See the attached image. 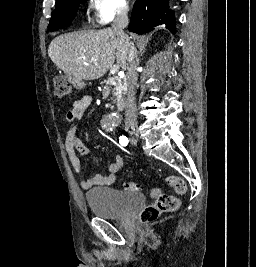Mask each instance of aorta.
<instances>
[{"label":"aorta","mask_w":256,"mask_h":267,"mask_svg":"<svg viewBox=\"0 0 256 267\" xmlns=\"http://www.w3.org/2000/svg\"><path fill=\"white\" fill-rule=\"evenodd\" d=\"M103 122H109V127H116L118 122V117H103Z\"/></svg>","instance_id":"1"}]
</instances>
